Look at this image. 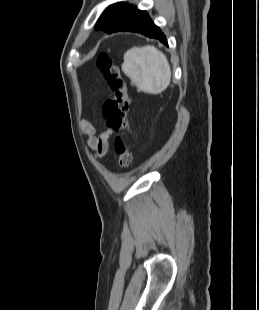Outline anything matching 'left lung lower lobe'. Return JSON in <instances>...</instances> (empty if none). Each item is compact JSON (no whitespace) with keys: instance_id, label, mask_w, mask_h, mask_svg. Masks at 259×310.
I'll list each match as a JSON object with an SVG mask.
<instances>
[{"instance_id":"obj_1","label":"left lung lower lobe","mask_w":259,"mask_h":310,"mask_svg":"<svg viewBox=\"0 0 259 310\" xmlns=\"http://www.w3.org/2000/svg\"><path fill=\"white\" fill-rule=\"evenodd\" d=\"M130 31L140 33L149 38H155L167 45V40L162 31L150 19L146 11L134 9L130 11L111 32Z\"/></svg>"}]
</instances>
